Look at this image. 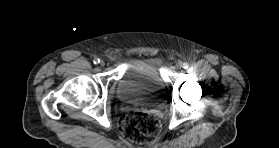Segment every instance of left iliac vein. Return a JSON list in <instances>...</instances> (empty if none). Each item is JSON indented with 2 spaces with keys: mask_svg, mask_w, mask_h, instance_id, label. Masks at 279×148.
<instances>
[{
  "mask_svg": "<svg viewBox=\"0 0 279 148\" xmlns=\"http://www.w3.org/2000/svg\"><path fill=\"white\" fill-rule=\"evenodd\" d=\"M182 67V64L180 63V62H178L177 64H176V68L177 69H180Z\"/></svg>",
  "mask_w": 279,
  "mask_h": 148,
  "instance_id": "4c4485c4",
  "label": "left iliac vein"
}]
</instances>
